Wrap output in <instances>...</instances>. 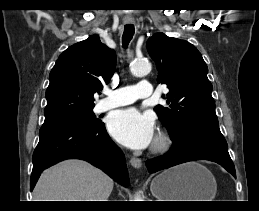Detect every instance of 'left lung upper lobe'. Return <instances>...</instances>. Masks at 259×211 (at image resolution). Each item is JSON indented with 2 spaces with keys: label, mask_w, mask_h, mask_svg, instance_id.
<instances>
[{
  "label": "left lung upper lobe",
  "mask_w": 259,
  "mask_h": 211,
  "mask_svg": "<svg viewBox=\"0 0 259 211\" xmlns=\"http://www.w3.org/2000/svg\"><path fill=\"white\" fill-rule=\"evenodd\" d=\"M147 51L157 65L158 83L169 89V107L158 105L154 110L171 139L196 129L220 132L208 68L196 47L157 33L147 41Z\"/></svg>",
  "instance_id": "obj_1"
}]
</instances>
